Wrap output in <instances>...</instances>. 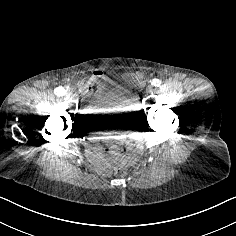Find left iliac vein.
<instances>
[{"label": "left iliac vein", "mask_w": 236, "mask_h": 236, "mask_svg": "<svg viewBox=\"0 0 236 236\" xmlns=\"http://www.w3.org/2000/svg\"><path fill=\"white\" fill-rule=\"evenodd\" d=\"M146 92L148 95H153L155 92V89L152 86L147 87Z\"/></svg>", "instance_id": "1"}]
</instances>
